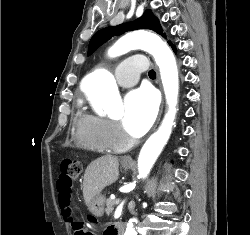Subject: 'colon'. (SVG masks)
I'll return each mask as SVG.
<instances>
[{
	"mask_svg": "<svg viewBox=\"0 0 250 235\" xmlns=\"http://www.w3.org/2000/svg\"><path fill=\"white\" fill-rule=\"evenodd\" d=\"M81 171L82 165L80 161L74 159L63 160L60 165V175L57 181L58 188L70 192L72 183L80 175ZM66 221L73 225L76 235H93L82 224L75 222L71 215L67 217Z\"/></svg>",
	"mask_w": 250,
	"mask_h": 235,
	"instance_id": "obj_1",
	"label": "colon"
}]
</instances>
